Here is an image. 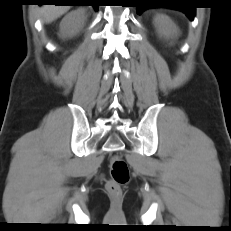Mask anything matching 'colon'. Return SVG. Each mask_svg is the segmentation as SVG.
<instances>
[{
    "label": "colon",
    "instance_id": "obj_1",
    "mask_svg": "<svg viewBox=\"0 0 231 231\" xmlns=\"http://www.w3.org/2000/svg\"><path fill=\"white\" fill-rule=\"evenodd\" d=\"M130 178L129 167L127 163L119 156H113L110 159V179L106 183V189L114 196L121 194V187L125 185Z\"/></svg>",
    "mask_w": 231,
    "mask_h": 231
}]
</instances>
